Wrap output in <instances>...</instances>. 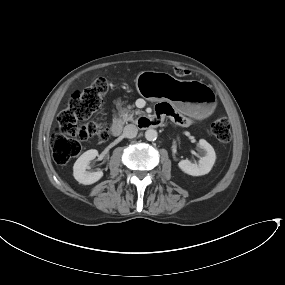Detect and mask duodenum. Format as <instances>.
Instances as JSON below:
<instances>
[{
  "mask_svg": "<svg viewBox=\"0 0 285 285\" xmlns=\"http://www.w3.org/2000/svg\"><path fill=\"white\" fill-rule=\"evenodd\" d=\"M148 126L152 127V126H156L158 123L156 122V120L154 118H148V117H143L142 118ZM122 129H123V124L121 121L119 120H114L111 126V131L112 134L114 136H119L122 133Z\"/></svg>",
  "mask_w": 285,
  "mask_h": 285,
  "instance_id": "duodenum-1",
  "label": "duodenum"
}]
</instances>
